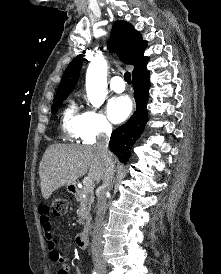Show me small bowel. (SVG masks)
<instances>
[{"label": "small bowel", "instance_id": "small-bowel-1", "mask_svg": "<svg viewBox=\"0 0 221 274\" xmlns=\"http://www.w3.org/2000/svg\"><path fill=\"white\" fill-rule=\"evenodd\" d=\"M38 213L41 230L47 242L50 258L53 262L61 265V268L57 271V274H70L68 266L69 259L61 253L55 241L53 222L49 207L46 205H40L38 208Z\"/></svg>", "mask_w": 221, "mask_h": 274}]
</instances>
